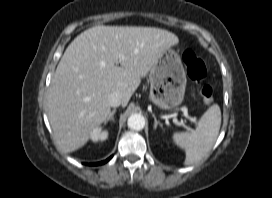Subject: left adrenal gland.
<instances>
[{
    "instance_id": "a2214340",
    "label": "left adrenal gland",
    "mask_w": 272,
    "mask_h": 198,
    "mask_svg": "<svg viewBox=\"0 0 272 198\" xmlns=\"http://www.w3.org/2000/svg\"><path fill=\"white\" fill-rule=\"evenodd\" d=\"M152 117L154 118V130L157 129V126L159 125L162 128V124L157 120L156 116L152 114Z\"/></svg>"
}]
</instances>
